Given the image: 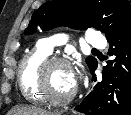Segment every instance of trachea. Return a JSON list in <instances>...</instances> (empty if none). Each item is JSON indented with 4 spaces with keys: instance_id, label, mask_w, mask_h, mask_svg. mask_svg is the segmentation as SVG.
<instances>
[{
    "instance_id": "trachea-1",
    "label": "trachea",
    "mask_w": 131,
    "mask_h": 115,
    "mask_svg": "<svg viewBox=\"0 0 131 115\" xmlns=\"http://www.w3.org/2000/svg\"><path fill=\"white\" fill-rule=\"evenodd\" d=\"M92 50H93V51H97V49H95V48H93Z\"/></svg>"
}]
</instances>
